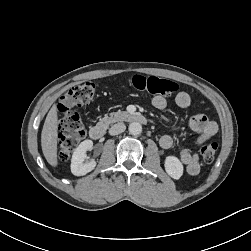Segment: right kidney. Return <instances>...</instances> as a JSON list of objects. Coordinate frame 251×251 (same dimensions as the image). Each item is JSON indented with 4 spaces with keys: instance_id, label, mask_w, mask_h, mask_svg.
Segmentation results:
<instances>
[{
    "instance_id": "1",
    "label": "right kidney",
    "mask_w": 251,
    "mask_h": 251,
    "mask_svg": "<svg viewBox=\"0 0 251 251\" xmlns=\"http://www.w3.org/2000/svg\"><path fill=\"white\" fill-rule=\"evenodd\" d=\"M93 146L92 140H85L75 149L71 159V172L75 176H83L91 172L95 166V160L84 163L86 152Z\"/></svg>"
}]
</instances>
